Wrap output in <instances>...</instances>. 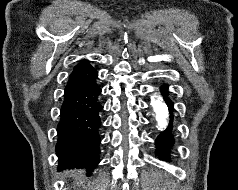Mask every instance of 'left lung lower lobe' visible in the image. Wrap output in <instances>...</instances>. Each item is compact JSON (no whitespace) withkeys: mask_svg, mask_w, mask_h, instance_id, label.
I'll list each match as a JSON object with an SVG mask.
<instances>
[{"mask_svg":"<svg viewBox=\"0 0 238 190\" xmlns=\"http://www.w3.org/2000/svg\"><path fill=\"white\" fill-rule=\"evenodd\" d=\"M161 91L163 92L164 98L169 106L170 113H172L173 103L167 97L168 85H164L161 88ZM172 120H173V115H171L170 126L156 139L157 154L158 156H160L161 159H164V160L169 158V150L174 143V138L172 133V129H173Z\"/></svg>","mask_w":238,"mask_h":190,"instance_id":"obj_1","label":"left lung lower lobe"}]
</instances>
